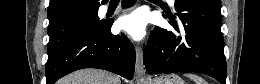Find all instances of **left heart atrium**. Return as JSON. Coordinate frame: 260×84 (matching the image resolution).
Here are the masks:
<instances>
[{"label":"left heart atrium","mask_w":260,"mask_h":84,"mask_svg":"<svg viewBox=\"0 0 260 84\" xmlns=\"http://www.w3.org/2000/svg\"><path fill=\"white\" fill-rule=\"evenodd\" d=\"M117 27L132 39L139 41L145 36L146 20L141 13L133 12L120 17Z\"/></svg>","instance_id":"left-heart-atrium-1"}]
</instances>
